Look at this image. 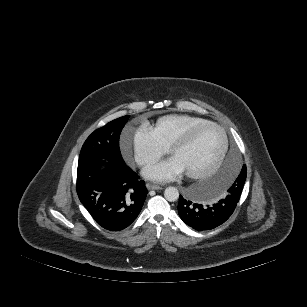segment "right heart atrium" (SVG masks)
Here are the masks:
<instances>
[{"label": "right heart atrium", "mask_w": 307, "mask_h": 307, "mask_svg": "<svg viewBox=\"0 0 307 307\" xmlns=\"http://www.w3.org/2000/svg\"><path fill=\"white\" fill-rule=\"evenodd\" d=\"M132 150L136 162L141 166L150 165L160 159L168 146L161 142L150 127H140L126 132L121 140L124 156Z\"/></svg>", "instance_id": "obj_1"}]
</instances>
